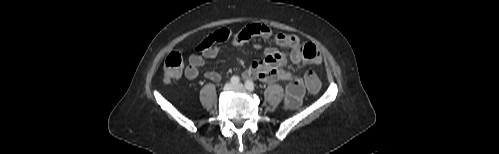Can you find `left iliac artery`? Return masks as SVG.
Returning <instances> with one entry per match:
<instances>
[{
  "label": "left iliac artery",
  "instance_id": "1",
  "mask_svg": "<svg viewBox=\"0 0 499 154\" xmlns=\"http://www.w3.org/2000/svg\"><path fill=\"white\" fill-rule=\"evenodd\" d=\"M245 87L249 91H254V89H255V85H254V83L251 80H247L245 82Z\"/></svg>",
  "mask_w": 499,
  "mask_h": 154
}]
</instances>
